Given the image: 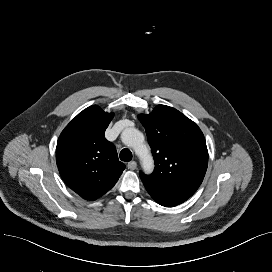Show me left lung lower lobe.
Segmentation results:
<instances>
[{
    "mask_svg": "<svg viewBox=\"0 0 272 272\" xmlns=\"http://www.w3.org/2000/svg\"><path fill=\"white\" fill-rule=\"evenodd\" d=\"M143 184L151 197L157 203L166 207H174L191 197L190 195L177 190L157 187L146 182H143Z\"/></svg>",
    "mask_w": 272,
    "mask_h": 272,
    "instance_id": "left-lung-lower-lobe-1",
    "label": "left lung lower lobe"
}]
</instances>
